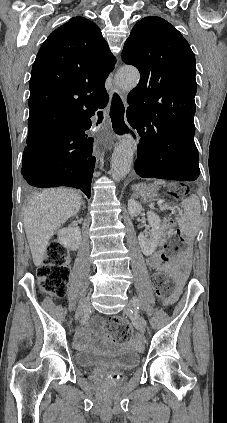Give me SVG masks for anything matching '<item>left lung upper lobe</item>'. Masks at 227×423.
<instances>
[{"label":"left lung upper lobe","mask_w":227,"mask_h":423,"mask_svg":"<svg viewBox=\"0 0 227 423\" xmlns=\"http://www.w3.org/2000/svg\"><path fill=\"white\" fill-rule=\"evenodd\" d=\"M122 60L140 72L139 84L128 94L129 106L164 112L195 113V56L188 42L160 17H145L126 40Z\"/></svg>","instance_id":"obj_1"}]
</instances>
